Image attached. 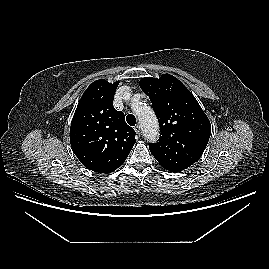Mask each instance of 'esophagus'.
<instances>
[{"label": "esophagus", "mask_w": 269, "mask_h": 269, "mask_svg": "<svg viewBox=\"0 0 269 269\" xmlns=\"http://www.w3.org/2000/svg\"><path fill=\"white\" fill-rule=\"evenodd\" d=\"M134 130L136 131V133L140 136L141 135V126L139 124H137L134 127Z\"/></svg>", "instance_id": "esophagus-1"}]
</instances>
